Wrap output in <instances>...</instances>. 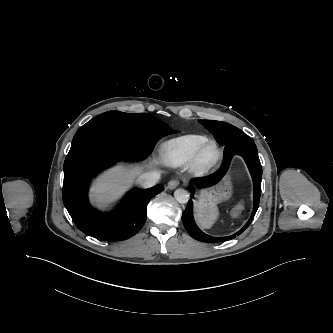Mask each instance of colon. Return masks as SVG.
Segmentation results:
<instances>
[{"mask_svg":"<svg viewBox=\"0 0 333 333\" xmlns=\"http://www.w3.org/2000/svg\"><path fill=\"white\" fill-rule=\"evenodd\" d=\"M240 209H241V206H238V207L236 208V212L240 211Z\"/></svg>","mask_w":333,"mask_h":333,"instance_id":"obj_1","label":"colon"}]
</instances>
